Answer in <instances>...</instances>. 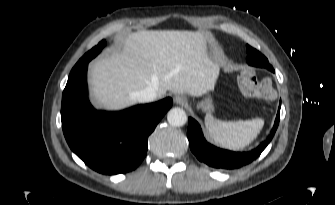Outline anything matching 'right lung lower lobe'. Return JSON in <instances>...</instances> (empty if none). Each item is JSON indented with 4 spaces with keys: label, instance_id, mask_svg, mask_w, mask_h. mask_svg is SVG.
<instances>
[{
    "label": "right lung lower lobe",
    "instance_id": "obj_1",
    "mask_svg": "<svg viewBox=\"0 0 335 205\" xmlns=\"http://www.w3.org/2000/svg\"><path fill=\"white\" fill-rule=\"evenodd\" d=\"M88 62L71 71L62 95L61 121L71 150L102 174L126 173L144 159L148 136L172 106V99L121 112L95 110L87 97Z\"/></svg>",
    "mask_w": 335,
    "mask_h": 205
}]
</instances>
